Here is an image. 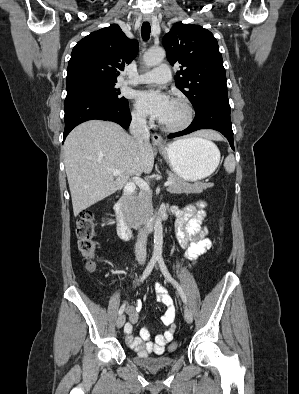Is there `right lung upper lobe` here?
<instances>
[{"label":"right lung upper lobe","instance_id":"obj_1","mask_svg":"<svg viewBox=\"0 0 299 394\" xmlns=\"http://www.w3.org/2000/svg\"><path fill=\"white\" fill-rule=\"evenodd\" d=\"M139 50L116 25L92 32L73 48L67 68V88L94 82H117L119 71Z\"/></svg>","mask_w":299,"mask_h":394}]
</instances>
